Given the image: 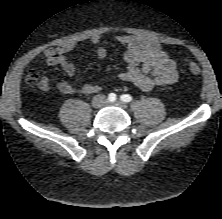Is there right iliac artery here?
<instances>
[{
    "mask_svg": "<svg viewBox=\"0 0 222 219\" xmlns=\"http://www.w3.org/2000/svg\"><path fill=\"white\" fill-rule=\"evenodd\" d=\"M108 100L113 102L116 100V94L114 93H110L109 96H108Z\"/></svg>",
    "mask_w": 222,
    "mask_h": 219,
    "instance_id": "right-iliac-artery-1",
    "label": "right iliac artery"
}]
</instances>
